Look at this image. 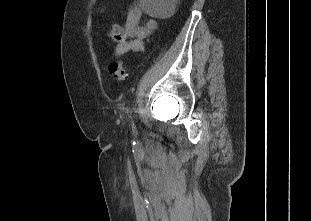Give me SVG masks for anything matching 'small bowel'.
I'll return each instance as SVG.
<instances>
[{
    "instance_id": "obj_1",
    "label": "small bowel",
    "mask_w": 311,
    "mask_h": 221,
    "mask_svg": "<svg viewBox=\"0 0 311 221\" xmlns=\"http://www.w3.org/2000/svg\"><path fill=\"white\" fill-rule=\"evenodd\" d=\"M142 9L138 5H132L127 11V19L123 31L127 40L119 42L115 47L116 56H122L129 52H143L144 40L156 30L157 20L150 17L140 25Z\"/></svg>"
}]
</instances>
